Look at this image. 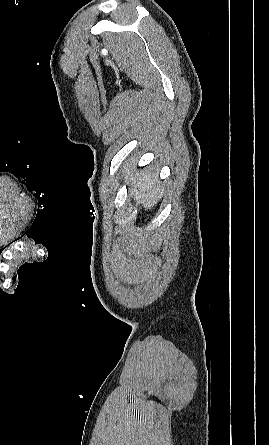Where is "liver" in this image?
Wrapping results in <instances>:
<instances>
[{
  "mask_svg": "<svg viewBox=\"0 0 269 445\" xmlns=\"http://www.w3.org/2000/svg\"><path fill=\"white\" fill-rule=\"evenodd\" d=\"M126 176H132L130 192L137 200L139 199L138 203L143 204L146 210L158 203L161 198V189L157 174L148 175L144 171L133 174L132 170L127 169Z\"/></svg>",
  "mask_w": 269,
  "mask_h": 445,
  "instance_id": "1",
  "label": "liver"
}]
</instances>
